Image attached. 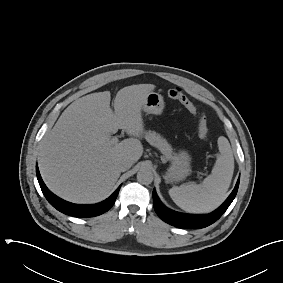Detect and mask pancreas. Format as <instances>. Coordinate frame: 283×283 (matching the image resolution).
<instances>
[{"mask_svg":"<svg viewBox=\"0 0 283 283\" xmlns=\"http://www.w3.org/2000/svg\"><path fill=\"white\" fill-rule=\"evenodd\" d=\"M146 140L150 143V145L157 147L161 153L163 154V157L167 160L173 159V151L172 147L168 142L161 137L158 133L154 131H149L146 133Z\"/></svg>","mask_w":283,"mask_h":283,"instance_id":"1","label":"pancreas"}]
</instances>
